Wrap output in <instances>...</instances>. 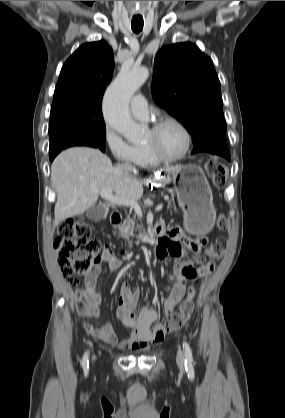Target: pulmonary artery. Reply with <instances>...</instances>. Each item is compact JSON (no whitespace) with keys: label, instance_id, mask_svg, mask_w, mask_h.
I'll return each instance as SVG.
<instances>
[{"label":"pulmonary artery","instance_id":"pulmonary-artery-1","mask_svg":"<svg viewBox=\"0 0 285 418\" xmlns=\"http://www.w3.org/2000/svg\"><path fill=\"white\" fill-rule=\"evenodd\" d=\"M131 114L140 119H145L148 116V105L145 98L141 95H136L130 102Z\"/></svg>","mask_w":285,"mask_h":418}]
</instances>
